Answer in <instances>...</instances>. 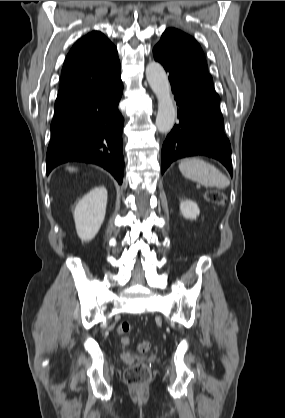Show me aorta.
Returning a JSON list of instances; mask_svg holds the SVG:
<instances>
[{"mask_svg":"<svg viewBox=\"0 0 285 418\" xmlns=\"http://www.w3.org/2000/svg\"><path fill=\"white\" fill-rule=\"evenodd\" d=\"M146 78L158 100L156 127L159 132L168 133L176 118L168 77L159 63L150 62L146 67Z\"/></svg>","mask_w":285,"mask_h":418,"instance_id":"1","label":"aorta"}]
</instances>
